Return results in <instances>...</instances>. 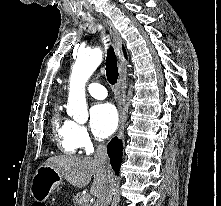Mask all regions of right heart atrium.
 I'll use <instances>...</instances> for the list:
<instances>
[{
    "mask_svg": "<svg viewBox=\"0 0 221 206\" xmlns=\"http://www.w3.org/2000/svg\"><path fill=\"white\" fill-rule=\"evenodd\" d=\"M76 139L80 148L87 152L91 151L93 147V138L84 125L76 124Z\"/></svg>",
    "mask_w": 221,
    "mask_h": 206,
    "instance_id": "right-heart-atrium-1",
    "label": "right heart atrium"
}]
</instances>
